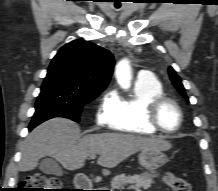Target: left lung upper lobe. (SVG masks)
I'll return each mask as SVG.
<instances>
[{
	"label": "left lung upper lobe",
	"mask_w": 218,
	"mask_h": 191,
	"mask_svg": "<svg viewBox=\"0 0 218 191\" xmlns=\"http://www.w3.org/2000/svg\"><path fill=\"white\" fill-rule=\"evenodd\" d=\"M169 76L172 83L175 85L180 94L183 95L186 99H188L185 93L184 86L181 83V78L176 74L172 67H169Z\"/></svg>",
	"instance_id": "5c2ea615"
}]
</instances>
